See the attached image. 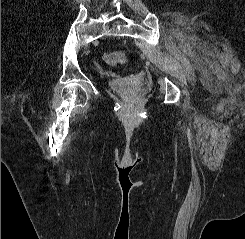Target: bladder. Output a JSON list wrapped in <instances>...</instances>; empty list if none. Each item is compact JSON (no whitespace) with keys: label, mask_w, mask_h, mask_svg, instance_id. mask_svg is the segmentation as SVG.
Here are the masks:
<instances>
[{"label":"bladder","mask_w":245,"mask_h":239,"mask_svg":"<svg viewBox=\"0 0 245 239\" xmlns=\"http://www.w3.org/2000/svg\"><path fill=\"white\" fill-rule=\"evenodd\" d=\"M110 86L119 93L132 95L138 88V84L130 78L118 79L110 82Z\"/></svg>","instance_id":"1"}]
</instances>
